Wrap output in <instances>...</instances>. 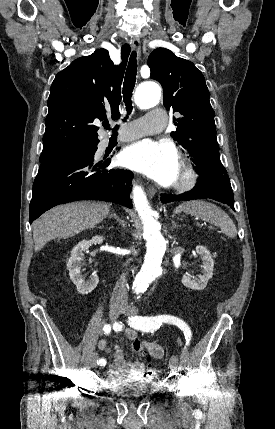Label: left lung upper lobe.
I'll use <instances>...</instances> for the list:
<instances>
[{
	"instance_id": "obj_1",
	"label": "left lung upper lobe",
	"mask_w": 275,
	"mask_h": 429,
	"mask_svg": "<svg viewBox=\"0 0 275 429\" xmlns=\"http://www.w3.org/2000/svg\"><path fill=\"white\" fill-rule=\"evenodd\" d=\"M150 77L163 87V102L177 126L171 136L192 157L197 171L227 173L219 158L214 111L205 79L195 65L165 48L155 49L147 61Z\"/></svg>"
}]
</instances>
